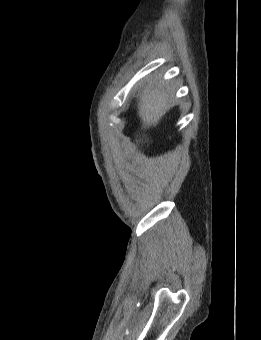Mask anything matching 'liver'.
I'll use <instances>...</instances> for the list:
<instances>
[{
  "instance_id": "liver-1",
  "label": "liver",
  "mask_w": 261,
  "mask_h": 340,
  "mask_svg": "<svg viewBox=\"0 0 261 340\" xmlns=\"http://www.w3.org/2000/svg\"><path fill=\"white\" fill-rule=\"evenodd\" d=\"M171 97L163 87H147L140 94L138 115L146 127H155L170 108Z\"/></svg>"
}]
</instances>
